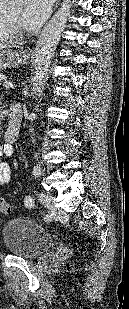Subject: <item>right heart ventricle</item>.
Returning <instances> with one entry per match:
<instances>
[{
  "label": "right heart ventricle",
  "instance_id": "obj_1",
  "mask_svg": "<svg viewBox=\"0 0 129 309\" xmlns=\"http://www.w3.org/2000/svg\"><path fill=\"white\" fill-rule=\"evenodd\" d=\"M3 0H0V45L2 44H8L13 41V36L9 33V30L7 29L3 16L4 13L2 11V2Z\"/></svg>",
  "mask_w": 129,
  "mask_h": 309
}]
</instances>
